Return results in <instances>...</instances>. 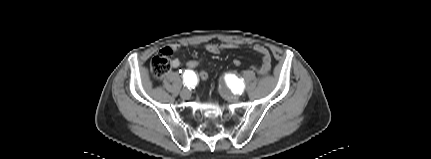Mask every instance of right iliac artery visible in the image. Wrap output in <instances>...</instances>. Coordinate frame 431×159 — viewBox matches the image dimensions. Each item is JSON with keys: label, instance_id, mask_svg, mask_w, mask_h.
<instances>
[{"label": "right iliac artery", "instance_id": "obj_1", "mask_svg": "<svg viewBox=\"0 0 431 159\" xmlns=\"http://www.w3.org/2000/svg\"><path fill=\"white\" fill-rule=\"evenodd\" d=\"M196 81V75L191 70H186L183 74V82L184 84L190 88Z\"/></svg>", "mask_w": 431, "mask_h": 159}]
</instances>
